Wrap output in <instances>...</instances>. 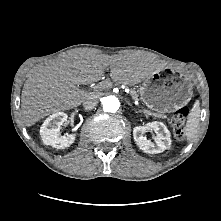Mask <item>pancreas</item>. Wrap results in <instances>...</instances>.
Masks as SVG:
<instances>
[{
    "label": "pancreas",
    "instance_id": "pancreas-1",
    "mask_svg": "<svg viewBox=\"0 0 221 221\" xmlns=\"http://www.w3.org/2000/svg\"><path fill=\"white\" fill-rule=\"evenodd\" d=\"M133 99H138V94L135 91L131 92Z\"/></svg>",
    "mask_w": 221,
    "mask_h": 221
}]
</instances>
